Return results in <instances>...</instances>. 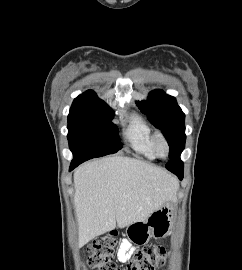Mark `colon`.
Instances as JSON below:
<instances>
[{
  "label": "colon",
  "mask_w": 242,
  "mask_h": 270,
  "mask_svg": "<svg viewBox=\"0 0 242 270\" xmlns=\"http://www.w3.org/2000/svg\"><path fill=\"white\" fill-rule=\"evenodd\" d=\"M117 234L111 232L97 239L89 248L88 265L94 270H155L165 263L168 254L161 245H147L135 253L133 260L125 267L120 268L113 261L117 247Z\"/></svg>",
  "instance_id": "5ec220e1"
}]
</instances>
